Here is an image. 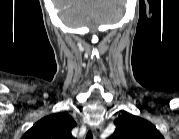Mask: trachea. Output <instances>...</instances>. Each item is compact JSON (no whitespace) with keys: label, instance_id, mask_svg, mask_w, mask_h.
Listing matches in <instances>:
<instances>
[{"label":"trachea","instance_id":"1","mask_svg":"<svg viewBox=\"0 0 179 139\" xmlns=\"http://www.w3.org/2000/svg\"><path fill=\"white\" fill-rule=\"evenodd\" d=\"M86 139H93V135L90 131L87 133Z\"/></svg>","mask_w":179,"mask_h":139}]
</instances>
